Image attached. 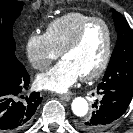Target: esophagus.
I'll list each match as a JSON object with an SVG mask.
<instances>
[{"label": "esophagus", "mask_w": 133, "mask_h": 133, "mask_svg": "<svg viewBox=\"0 0 133 133\" xmlns=\"http://www.w3.org/2000/svg\"><path fill=\"white\" fill-rule=\"evenodd\" d=\"M59 98L63 101H69L71 99V96L70 95H66V94H63V95H59Z\"/></svg>", "instance_id": "34e87169"}]
</instances>
